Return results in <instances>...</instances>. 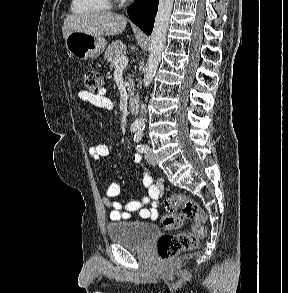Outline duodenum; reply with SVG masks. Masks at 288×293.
Listing matches in <instances>:
<instances>
[{
    "label": "duodenum",
    "mask_w": 288,
    "mask_h": 293,
    "mask_svg": "<svg viewBox=\"0 0 288 293\" xmlns=\"http://www.w3.org/2000/svg\"><path fill=\"white\" fill-rule=\"evenodd\" d=\"M128 106L131 112L136 113L139 109V99L137 96L130 97Z\"/></svg>",
    "instance_id": "410a0bca"
}]
</instances>
